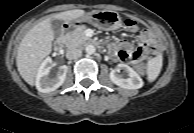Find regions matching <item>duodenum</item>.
Returning <instances> with one entry per match:
<instances>
[{
  "label": "duodenum",
  "instance_id": "410a0bca",
  "mask_svg": "<svg viewBox=\"0 0 194 133\" xmlns=\"http://www.w3.org/2000/svg\"><path fill=\"white\" fill-rule=\"evenodd\" d=\"M78 25V23H67L64 24V26L62 27V33L61 36L58 37L55 42H54V48L55 49H61L64 45L65 42V35L74 27H76ZM94 45L100 47L101 44L98 42H92Z\"/></svg>",
  "mask_w": 194,
  "mask_h": 133
}]
</instances>
